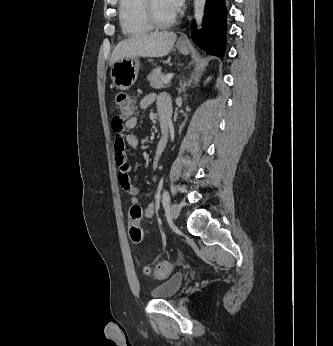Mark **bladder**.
Wrapping results in <instances>:
<instances>
[{"label": "bladder", "instance_id": "1", "mask_svg": "<svg viewBox=\"0 0 333 346\" xmlns=\"http://www.w3.org/2000/svg\"><path fill=\"white\" fill-rule=\"evenodd\" d=\"M184 275L183 273H175L168 279L155 286L151 295L155 299L164 300L173 297L183 284Z\"/></svg>", "mask_w": 333, "mask_h": 346}]
</instances>
